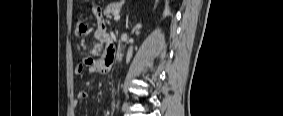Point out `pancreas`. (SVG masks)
<instances>
[{
  "instance_id": "pancreas-1",
  "label": "pancreas",
  "mask_w": 283,
  "mask_h": 116,
  "mask_svg": "<svg viewBox=\"0 0 283 116\" xmlns=\"http://www.w3.org/2000/svg\"><path fill=\"white\" fill-rule=\"evenodd\" d=\"M122 3L118 2V3H113L110 4L106 7V9L104 10V15L107 18H111L112 15H114L116 12H118L121 8Z\"/></svg>"
}]
</instances>
